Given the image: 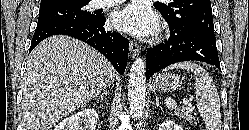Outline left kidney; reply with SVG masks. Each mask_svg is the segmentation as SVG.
Here are the masks:
<instances>
[{
    "label": "left kidney",
    "mask_w": 249,
    "mask_h": 130,
    "mask_svg": "<svg viewBox=\"0 0 249 130\" xmlns=\"http://www.w3.org/2000/svg\"><path fill=\"white\" fill-rule=\"evenodd\" d=\"M159 130H182V128L172 120H166L160 124Z\"/></svg>",
    "instance_id": "obj_1"
}]
</instances>
